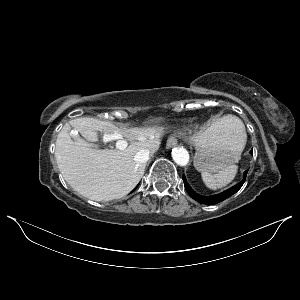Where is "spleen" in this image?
Listing matches in <instances>:
<instances>
[{"mask_svg": "<svg viewBox=\"0 0 300 300\" xmlns=\"http://www.w3.org/2000/svg\"><path fill=\"white\" fill-rule=\"evenodd\" d=\"M220 123L228 125L231 123L236 129V134L241 137V143L243 147L246 144V132L243 122L236 116L227 115L220 119ZM238 170L237 165H230L227 168L219 171L217 174H212L210 172H202L201 176L205 185L213 190L222 188L228 185L236 176Z\"/></svg>", "mask_w": 300, "mask_h": 300, "instance_id": "1", "label": "spleen"}]
</instances>
